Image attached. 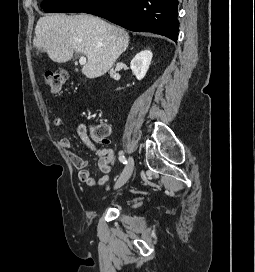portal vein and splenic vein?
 <instances>
[{"instance_id":"18ae733b","label":"portal vein and splenic vein","mask_w":255,"mask_h":272,"mask_svg":"<svg viewBox=\"0 0 255 272\" xmlns=\"http://www.w3.org/2000/svg\"><path fill=\"white\" fill-rule=\"evenodd\" d=\"M79 63H80L81 65H85V64H86V57L81 56L80 59H79Z\"/></svg>"}]
</instances>
